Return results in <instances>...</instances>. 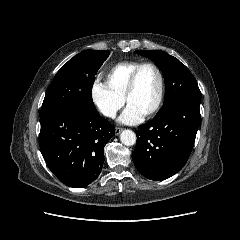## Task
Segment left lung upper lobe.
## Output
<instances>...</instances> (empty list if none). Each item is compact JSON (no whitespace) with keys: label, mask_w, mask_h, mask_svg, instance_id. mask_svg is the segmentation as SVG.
Instances as JSON below:
<instances>
[{"label":"left lung upper lobe","mask_w":240,"mask_h":240,"mask_svg":"<svg viewBox=\"0 0 240 240\" xmlns=\"http://www.w3.org/2000/svg\"><path fill=\"white\" fill-rule=\"evenodd\" d=\"M136 53L149 57L163 73L165 99L161 109L182 98L201 99L196 79L177 58L158 50H137Z\"/></svg>","instance_id":"obj_1"}]
</instances>
